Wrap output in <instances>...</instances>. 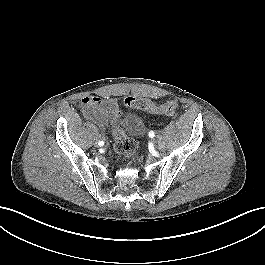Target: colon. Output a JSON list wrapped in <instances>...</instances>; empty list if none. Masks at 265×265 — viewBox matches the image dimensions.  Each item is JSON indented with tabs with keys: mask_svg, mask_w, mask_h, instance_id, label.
Wrapping results in <instances>:
<instances>
[{
	"mask_svg": "<svg viewBox=\"0 0 265 265\" xmlns=\"http://www.w3.org/2000/svg\"><path fill=\"white\" fill-rule=\"evenodd\" d=\"M123 103L126 107L165 115H171L178 109L177 100H170L163 104H156L153 101L144 98L127 97L124 99ZM112 132L114 136L115 151L127 159L134 160L137 151L136 141L116 130H113Z\"/></svg>",
	"mask_w": 265,
	"mask_h": 265,
	"instance_id": "obj_1",
	"label": "colon"
}]
</instances>
